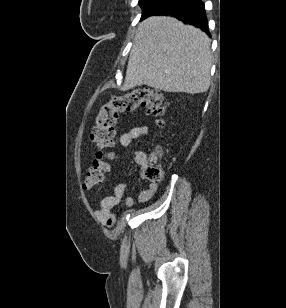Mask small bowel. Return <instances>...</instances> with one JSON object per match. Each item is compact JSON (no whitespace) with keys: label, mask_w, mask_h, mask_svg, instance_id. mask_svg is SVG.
<instances>
[{"label":"small bowel","mask_w":286,"mask_h":308,"mask_svg":"<svg viewBox=\"0 0 286 308\" xmlns=\"http://www.w3.org/2000/svg\"><path fill=\"white\" fill-rule=\"evenodd\" d=\"M149 128L146 125L133 127L131 129L125 130L121 133L119 137L118 145L121 149H128L136 139L144 138L148 136ZM135 162L139 165H143L146 161V154L142 150H137L134 152ZM140 178L144 179L143 173H140ZM157 190L156 184H150L149 188L142 190L137 198L139 203H145L149 201ZM125 195V184H116L113 188V193L104 198L99 208L96 210L95 214L98 220L103 222L107 226L114 224L116 216L112 211L113 207L117 205ZM136 203L133 198H126V204L132 206Z\"/></svg>","instance_id":"1"}]
</instances>
